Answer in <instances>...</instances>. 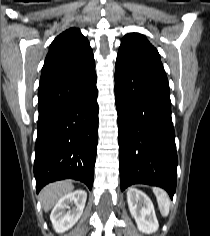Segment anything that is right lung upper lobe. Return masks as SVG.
I'll use <instances>...</instances> for the list:
<instances>
[{
    "label": "right lung upper lobe",
    "instance_id": "right-lung-upper-lobe-1",
    "mask_svg": "<svg viewBox=\"0 0 210 236\" xmlns=\"http://www.w3.org/2000/svg\"><path fill=\"white\" fill-rule=\"evenodd\" d=\"M95 66L89 41L79 29L70 28L51 43L42 69L39 88Z\"/></svg>",
    "mask_w": 210,
    "mask_h": 236
}]
</instances>
